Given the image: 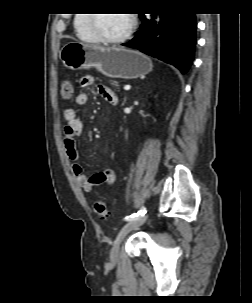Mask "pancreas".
<instances>
[{"mask_svg":"<svg viewBox=\"0 0 252 303\" xmlns=\"http://www.w3.org/2000/svg\"><path fill=\"white\" fill-rule=\"evenodd\" d=\"M113 86H118V82H116V81H112V83H111Z\"/></svg>","mask_w":252,"mask_h":303,"instance_id":"obj_1","label":"pancreas"}]
</instances>
